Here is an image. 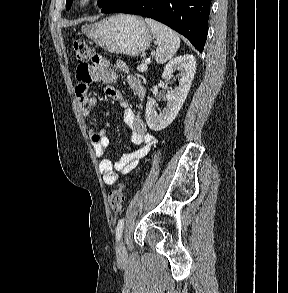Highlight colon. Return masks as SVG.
Returning <instances> with one entry per match:
<instances>
[{"label": "colon", "instance_id": "colon-1", "mask_svg": "<svg viewBox=\"0 0 288 293\" xmlns=\"http://www.w3.org/2000/svg\"><path fill=\"white\" fill-rule=\"evenodd\" d=\"M74 52L77 61L82 65H89V61L95 56L93 47L85 40H75L73 43ZM124 188L125 184H120L118 188L111 191L108 197V202L114 212H120L124 203Z\"/></svg>", "mask_w": 288, "mask_h": 293}]
</instances>
